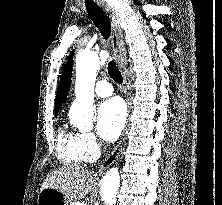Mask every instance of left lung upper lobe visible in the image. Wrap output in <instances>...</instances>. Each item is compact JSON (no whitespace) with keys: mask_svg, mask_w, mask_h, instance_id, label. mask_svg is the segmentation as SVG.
<instances>
[{"mask_svg":"<svg viewBox=\"0 0 222 205\" xmlns=\"http://www.w3.org/2000/svg\"><path fill=\"white\" fill-rule=\"evenodd\" d=\"M72 67H73V51L69 56V61L65 65L61 76V81L56 96L55 116H57L60 106L66 100V94L69 90L70 81H71Z\"/></svg>","mask_w":222,"mask_h":205,"instance_id":"5c2ea615","label":"left lung upper lobe"}]
</instances>
